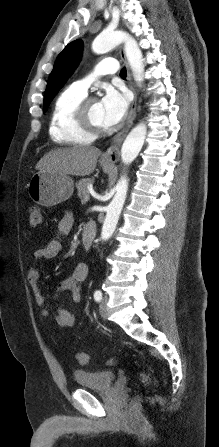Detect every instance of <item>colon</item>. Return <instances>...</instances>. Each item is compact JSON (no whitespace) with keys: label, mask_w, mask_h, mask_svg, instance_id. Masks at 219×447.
<instances>
[{"label":"colon","mask_w":219,"mask_h":447,"mask_svg":"<svg viewBox=\"0 0 219 447\" xmlns=\"http://www.w3.org/2000/svg\"><path fill=\"white\" fill-rule=\"evenodd\" d=\"M41 222H42V214H41L39 207L31 206L29 208V225H30V227H33V228L38 227L41 224ZM75 358H76V361L81 365H86L89 362V356L84 351H78L75 354ZM142 380L145 385H152L154 383V379L146 373L142 374Z\"/></svg>","instance_id":"obj_1"}]
</instances>
